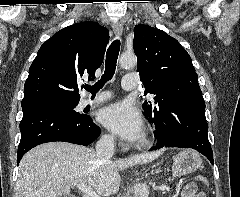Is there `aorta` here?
<instances>
[{"instance_id":"1","label":"aorta","mask_w":240,"mask_h":197,"mask_svg":"<svg viewBox=\"0 0 240 197\" xmlns=\"http://www.w3.org/2000/svg\"><path fill=\"white\" fill-rule=\"evenodd\" d=\"M137 63V58L134 54L124 53L120 57V65L123 68H130L135 66Z\"/></svg>"}]
</instances>
